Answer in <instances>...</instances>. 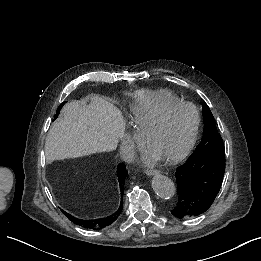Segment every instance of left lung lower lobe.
<instances>
[{
	"mask_svg": "<svg viewBox=\"0 0 261 261\" xmlns=\"http://www.w3.org/2000/svg\"><path fill=\"white\" fill-rule=\"evenodd\" d=\"M224 172L225 155L193 152L176 169L178 201L172 215L185 219L206 212L221 188Z\"/></svg>",
	"mask_w": 261,
	"mask_h": 261,
	"instance_id": "1",
	"label": "left lung lower lobe"
}]
</instances>
